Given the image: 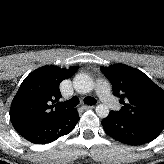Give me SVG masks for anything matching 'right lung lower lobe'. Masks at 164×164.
Wrapping results in <instances>:
<instances>
[{
    "label": "right lung lower lobe",
    "mask_w": 164,
    "mask_h": 164,
    "mask_svg": "<svg viewBox=\"0 0 164 164\" xmlns=\"http://www.w3.org/2000/svg\"><path fill=\"white\" fill-rule=\"evenodd\" d=\"M80 117L76 109L48 123L34 127L21 134L25 139L39 144L52 142L60 136L70 133Z\"/></svg>",
    "instance_id": "1"
}]
</instances>
